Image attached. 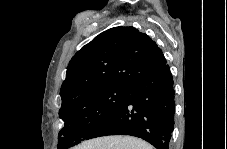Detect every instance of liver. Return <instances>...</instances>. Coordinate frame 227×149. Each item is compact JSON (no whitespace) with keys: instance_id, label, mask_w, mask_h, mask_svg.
<instances>
[{"instance_id":"6515ba94","label":"liver","mask_w":227,"mask_h":149,"mask_svg":"<svg viewBox=\"0 0 227 149\" xmlns=\"http://www.w3.org/2000/svg\"><path fill=\"white\" fill-rule=\"evenodd\" d=\"M77 149H152V146L136 137L115 135L85 141Z\"/></svg>"}]
</instances>
